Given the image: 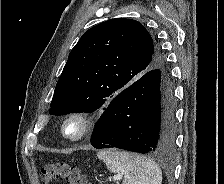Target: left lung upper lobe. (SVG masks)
I'll return each instance as SVG.
<instances>
[{
    "label": "left lung upper lobe",
    "mask_w": 224,
    "mask_h": 184,
    "mask_svg": "<svg viewBox=\"0 0 224 184\" xmlns=\"http://www.w3.org/2000/svg\"><path fill=\"white\" fill-rule=\"evenodd\" d=\"M157 68H164V58L141 23L125 18L102 22L86 31L71 50L49 113L106 109L122 90Z\"/></svg>",
    "instance_id": "5c2ea615"
}]
</instances>
